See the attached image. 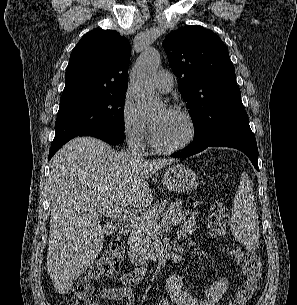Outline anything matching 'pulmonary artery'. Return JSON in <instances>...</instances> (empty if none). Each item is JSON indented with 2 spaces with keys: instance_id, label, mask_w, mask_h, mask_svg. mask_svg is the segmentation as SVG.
<instances>
[{
  "instance_id": "pulmonary-artery-1",
  "label": "pulmonary artery",
  "mask_w": 297,
  "mask_h": 305,
  "mask_svg": "<svg viewBox=\"0 0 297 305\" xmlns=\"http://www.w3.org/2000/svg\"><path fill=\"white\" fill-rule=\"evenodd\" d=\"M174 85V79L172 74L167 70H159L154 77V86L155 88L162 92H169Z\"/></svg>"
}]
</instances>
